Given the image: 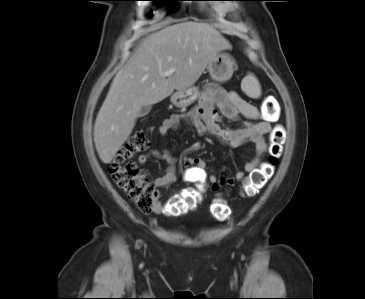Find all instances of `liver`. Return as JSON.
Returning <instances> with one entry per match:
<instances>
[{
  "label": "liver",
  "mask_w": 365,
  "mask_h": 299,
  "mask_svg": "<svg viewBox=\"0 0 365 299\" xmlns=\"http://www.w3.org/2000/svg\"><path fill=\"white\" fill-rule=\"evenodd\" d=\"M231 44L212 25L182 21L145 37L114 77L94 125V143L109 164L128 139L140 108L186 90L208 64ZM176 69L164 77L161 73Z\"/></svg>",
  "instance_id": "6515ba94"
}]
</instances>
